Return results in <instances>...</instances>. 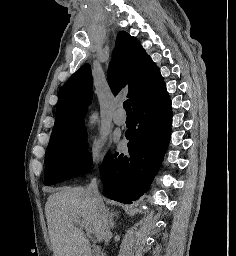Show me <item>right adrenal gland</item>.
Returning <instances> with one entry per match:
<instances>
[{"mask_svg": "<svg viewBox=\"0 0 236 256\" xmlns=\"http://www.w3.org/2000/svg\"><path fill=\"white\" fill-rule=\"evenodd\" d=\"M106 214H107L108 220H109V228H111V230H113V228H115L114 218H115V216H117V218H118V214H116V212H114V210H111V212H109V208H106Z\"/></svg>", "mask_w": 236, "mask_h": 256, "instance_id": "2a0ac1e0", "label": "right adrenal gland"}]
</instances>
